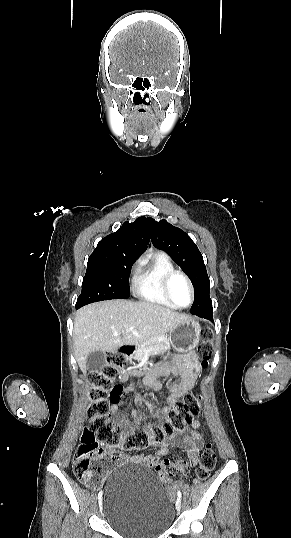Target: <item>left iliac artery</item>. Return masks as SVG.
<instances>
[{"label":"left iliac artery","instance_id":"obj_1","mask_svg":"<svg viewBox=\"0 0 291 538\" xmlns=\"http://www.w3.org/2000/svg\"><path fill=\"white\" fill-rule=\"evenodd\" d=\"M177 496H178L179 499H181V497H182V493L180 492V490H178V492H177Z\"/></svg>","mask_w":291,"mask_h":538}]
</instances>
